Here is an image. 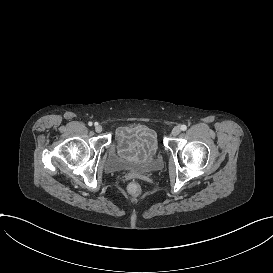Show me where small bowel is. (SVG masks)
I'll return each mask as SVG.
<instances>
[{
  "label": "small bowel",
  "mask_w": 273,
  "mask_h": 273,
  "mask_svg": "<svg viewBox=\"0 0 273 273\" xmlns=\"http://www.w3.org/2000/svg\"><path fill=\"white\" fill-rule=\"evenodd\" d=\"M117 148L124 156L134 152L136 154L132 157L134 161L147 158L152 160L157 154L153 133L140 125L121 128L118 132Z\"/></svg>",
  "instance_id": "c3829d8e"
}]
</instances>
